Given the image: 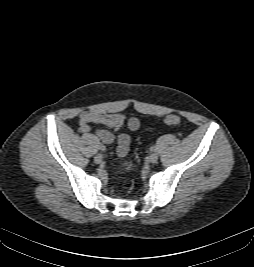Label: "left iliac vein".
Masks as SVG:
<instances>
[{"instance_id": "4c4485c4", "label": "left iliac vein", "mask_w": 254, "mask_h": 267, "mask_svg": "<svg viewBox=\"0 0 254 267\" xmlns=\"http://www.w3.org/2000/svg\"><path fill=\"white\" fill-rule=\"evenodd\" d=\"M148 160L150 163H156L158 161V155L156 153H152Z\"/></svg>"}]
</instances>
